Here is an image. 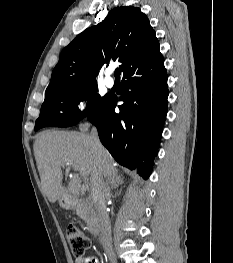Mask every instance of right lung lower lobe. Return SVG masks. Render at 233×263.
<instances>
[{
  "mask_svg": "<svg viewBox=\"0 0 233 263\" xmlns=\"http://www.w3.org/2000/svg\"><path fill=\"white\" fill-rule=\"evenodd\" d=\"M167 73L164 62L151 71H141L122 80L124 94L108 96L88 120L98 129L101 143L115 160L138 170L147 179L151 173L167 114ZM118 100L124 103L114 109Z\"/></svg>",
  "mask_w": 233,
  "mask_h": 263,
  "instance_id": "1",
  "label": "right lung lower lobe"
}]
</instances>
